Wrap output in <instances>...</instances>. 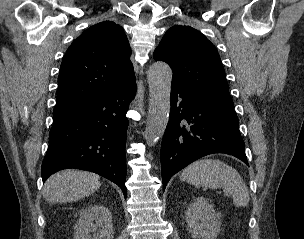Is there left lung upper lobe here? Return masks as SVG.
<instances>
[{"instance_id": "1", "label": "left lung upper lobe", "mask_w": 304, "mask_h": 239, "mask_svg": "<svg viewBox=\"0 0 304 239\" xmlns=\"http://www.w3.org/2000/svg\"><path fill=\"white\" fill-rule=\"evenodd\" d=\"M153 57L169 64L172 85L205 99L233 107L225 70L217 49L190 26H173L163 36Z\"/></svg>"}]
</instances>
